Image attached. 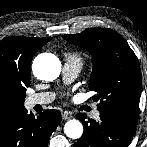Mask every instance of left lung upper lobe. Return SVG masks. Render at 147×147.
I'll return each instance as SVG.
<instances>
[{
	"mask_svg": "<svg viewBox=\"0 0 147 147\" xmlns=\"http://www.w3.org/2000/svg\"><path fill=\"white\" fill-rule=\"evenodd\" d=\"M68 42L83 47L93 58L89 89L95 91L97 109L119 117L136 127L139 116L141 71L138 59L126 40L116 31L92 28L63 35Z\"/></svg>",
	"mask_w": 147,
	"mask_h": 147,
	"instance_id": "left-lung-upper-lobe-1",
	"label": "left lung upper lobe"
}]
</instances>
